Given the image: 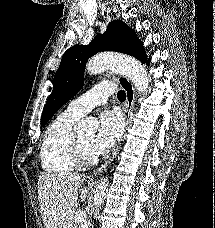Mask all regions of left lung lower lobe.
Here are the masks:
<instances>
[{
    "label": "left lung lower lobe",
    "instance_id": "left-lung-lower-lobe-1",
    "mask_svg": "<svg viewBox=\"0 0 215 228\" xmlns=\"http://www.w3.org/2000/svg\"><path fill=\"white\" fill-rule=\"evenodd\" d=\"M144 63H147V64H149V63H150V59H149V60H146Z\"/></svg>",
    "mask_w": 215,
    "mask_h": 228
}]
</instances>
